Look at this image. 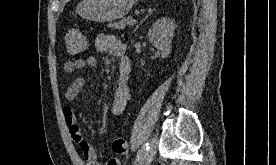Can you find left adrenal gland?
Here are the masks:
<instances>
[{
	"label": "left adrenal gland",
	"instance_id": "obj_1",
	"mask_svg": "<svg viewBox=\"0 0 276 165\" xmlns=\"http://www.w3.org/2000/svg\"><path fill=\"white\" fill-rule=\"evenodd\" d=\"M153 11H154L153 9H149V10H148V14H147L146 17L140 22V24H142L143 21H145V20L152 14ZM140 24H139V25H140ZM139 25L136 26V28L134 29V31H136V30L138 29Z\"/></svg>",
	"mask_w": 276,
	"mask_h": 165
}]
</instances>
